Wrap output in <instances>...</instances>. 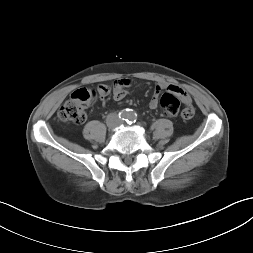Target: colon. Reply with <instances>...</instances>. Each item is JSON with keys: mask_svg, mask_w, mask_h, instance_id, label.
<instances>
[{"mask_svg": "<svg viewBox=\"0 0 253 253\" xmlns=\"http://www.w3.org/2000/svg\"><path fill=\"white\" fill-rule=\"evenodd\" d=\"M102 97L98 89L79 88L61 106L58 119L64 123L81 124L86 119V109L89 105ZM160 105L166 117H176L180 113V100L175 93L165 92L160 99Z\"/></svg>", "mask_w": 253, "mask_h": 253, "instance_id": "colon-1", "label": "colon"}]
</instances>
